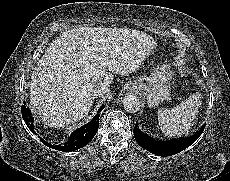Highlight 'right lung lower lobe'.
Returning a JSON list of instances; mask_svg holds the SVG:
<instances>
[{
    "label": "right lung lower lobe",
    "instance_id": "98d812e1",
    "mask_svg": "<svg viewBox=\"0 0 230 181\" xmlns=\"http://www.w3.org/2000/svg\"><path fill=\"white\" fill-rule=\"evenodd\" d=\"M105 106H101L100 109L98 110L96 116L88 123L87 125L79 128L78 130L74 131L72 135L70 136L69 140L62 145H51L50 143L44 141L41 137L40 141L45 144L46 146L53 148L55 150L63 151V152H70V151H75L79 148L84 147L87 145L93 137L96 135L98 126H99V112L104 108ZM22 117L26 121V124L30 131L34 134L36 132L34 131L33 127V118L31 116L30 110L26 108V105H22Z\"/></svg>",
    "mask_w": 230,
    "mask_h": 181
}]
</instances>
